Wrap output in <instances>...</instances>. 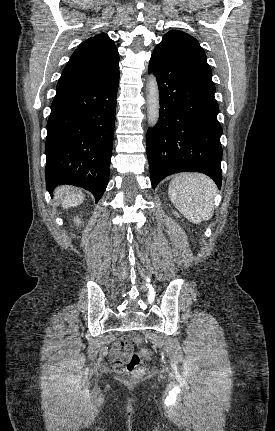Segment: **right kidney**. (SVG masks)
<instances>
[{"instance_id": "1", "label": "right kidney", "mask_w": 275, "mask_h": 431, "mask_svg": "<svg viewBox=\"0 0 275 431\" xmlns=\"http://www.w3.org/2000/svg\"><path fill=\"white\" fill-rule=\"evenodd\" d=\"M75 223H77L78 225L81 224L80 220L78 219V217L76 219H74Z\"/></svg>"}]
</instances>
